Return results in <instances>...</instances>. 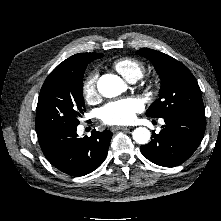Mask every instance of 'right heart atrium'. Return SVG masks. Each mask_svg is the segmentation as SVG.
Masks as SVG:
<instances>
[{"label": "right heart atrium", "mask_w": 221, "mask_h": 221, "mask_svg": "<svg viewBox=\"0 0 221 221\" xmlns=\"http://www.w3.org/2000/svg\"><path fill=\"white\" fill-rule=\"evenodd\" d=\"M98 74L91 72L83 81L82 93L87 102L93 103L99 99V91L97 88Z\"/></svg>", "instance_id": "obj_1"}]
</instances>
